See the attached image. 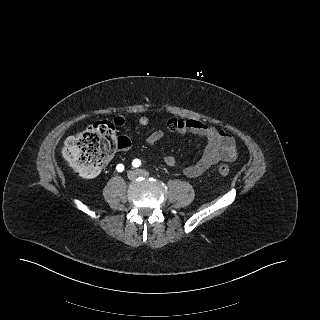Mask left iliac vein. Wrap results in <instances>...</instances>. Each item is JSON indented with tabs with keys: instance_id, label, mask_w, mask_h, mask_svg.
I'll return each instance as SVG.
<instances>
[{
	"instance_id": "obj_1",
	"label": "left iliac vein",
	"mask_w": 320,
	"mask_h": 320,
	"mask_svg": "<svg viewBox=\"0 0 320 320\" xmlns=\"http://www.w3.org/2000/svg\"><path fill=\"white\" fill-rule=\"evenodd\" d=\"M136 173L138 176H143V177H147L149 175V173L144 169H137Z\"/></svg>"
}]
</instances>
